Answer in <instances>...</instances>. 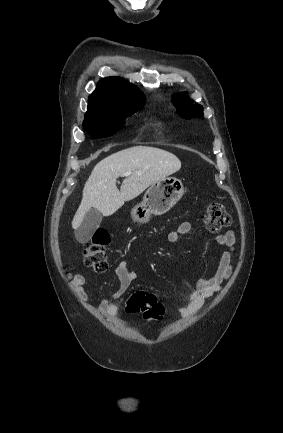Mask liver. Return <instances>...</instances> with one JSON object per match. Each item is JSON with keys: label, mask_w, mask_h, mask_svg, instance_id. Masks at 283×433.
<instances>
[{"label": "liver", "mask_w": 283, "mask_h": 433, "mask_svg": "<svg viewBox=\"0 0 283 433\" xmlns=\"http://www.w3.org/2000/svg\"><path fill=\"white\" fill-rule=\"evenodd\" d=\"M181 168V160L167 150L155 146H131L106 156L94 166L83 188L82 200L75 212L72 229H79L86 212L96 208L103 217H110L125 200H132L147 186L165 178ZM132 172L124 178L120 190L118 176Z\"/></svg>", "instance_id": "1"}]
</instances>
